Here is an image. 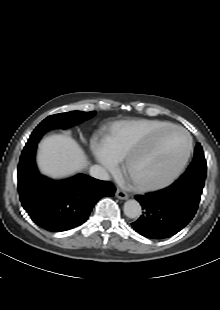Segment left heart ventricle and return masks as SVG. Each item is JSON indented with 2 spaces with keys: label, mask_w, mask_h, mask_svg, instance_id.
<instances>
[{
  "label": "left heart ventricle",
  "mask_w": 220,
  "mask_h": 310,
  "mask_svg": "<svg viewBox=\"0 0 220 310\" xmlns=\"http://www.w3.org/2000/svg\"><path fill=\"white\" fill-rule=\"evenodd\" d=\"M188 139L177 130H167L157 139L153 147L138 156L130 167L132 179L150 183L168 177L181 163L186 153Z\"/></svg>",
  "instance_id": "left-heart-ventricle-1"
}]
</instances>
